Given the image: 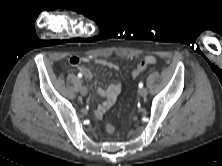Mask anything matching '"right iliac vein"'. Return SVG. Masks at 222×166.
I'll return each instance as SVG.
<instances>
[{
  "mask_svg": "<svg viewBox=\"0 0 222 166\" xmlns=\"http://www.w3.org/2000/svg\"><path fill=\"white\" fill-rule=\"evenodd\" d=\"M80 93H81L82 96H86L87 93H88L87 88H86L85 86H82V87L80 88Z\"/></svg>",
  "mask_w": 222,
  "mask_h": 166,
  "instance_id": "obj_1",
  "label": "right iliac vein"
}]
</instances>
